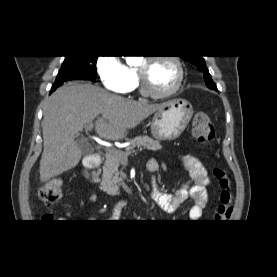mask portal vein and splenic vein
<instances>
[{
  "label": "portal vein and splenic vein",
  "mask_w": 277,
  "mask_h": 277,
  "mask_svg": "<svg viewBox=\"0 0 277 277\" xmlns=\"http://www.w3.org/2000/svg\"><path fill=\"white\" fill-rule=\"evenodd\" d=\"M93 128V124H89L88 126H87V130H91ZM101 144H103V145H106L105 143H101ZM105 152L109 155V154H111V153H113V152H115L112 148H110V147H106L105 149Z\"/></svg>",
  "instance_id": "1"
}]
</instances>
